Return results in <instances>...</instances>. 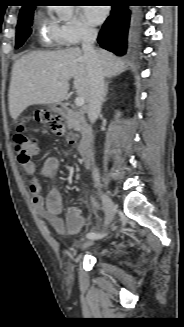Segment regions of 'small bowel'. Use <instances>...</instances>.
<instances>
[{"instance_id":"obj_1","label":"small bowel","mask_w":184,"mask_h":327,"mask_svg":"<svg viewBox=\"0 0 184 327\" xmlns=\"http://www.w3.org/2000/svg\"><path fill=\"white\" fill-rule=\"evenodd\" d=\"M25 172L31 176L35 174L36 168L33 162L23 165ZM60 164L57 158L49 157L45 160L41 173L44 177L53 178L57 175ZM34 206L41 212L42 216L49 221L53 229L58 233L78 234L85 225V218L78 207H70L66 216L63 217V197L59 190H51L46 197L42 193V184L36 177L29 182Z\"/></svg>"}]
</instances>
